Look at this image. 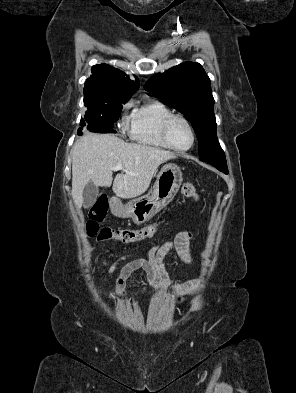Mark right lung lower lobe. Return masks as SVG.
<instances>
[{
    "label": "right lung lower lobe",
    "instance_id": "right-lung-lower-lobe-1",
    "mask_svg": "<svg viewBox=\"0 0 296 393\" xmlns=\"http://www.w3.org/2000/svg\"><path fill=\"white\" fill-rule=\"evenodd\" d=\"M89 131L91 132H96V133H115L116 131L114 130H104L96 127L88 128ZM78 134L81 135V128L78 130Z\"/></svg>",
    "mask_w": 296,
    "mask_h": 393
}]
</instances>
